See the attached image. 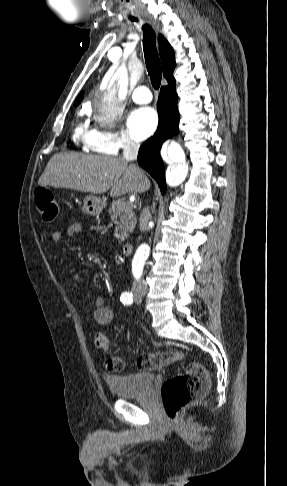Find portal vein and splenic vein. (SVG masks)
<instances>
[{
	"label": "portal vein and splenic vein",
	"mask_w": 287,
	"mask_h": 486,
	"mask_svg": "<svg viewBox=\"0 0 287 486\" xmlns=\"http://www.w3.org/2000/svg\"><path fill=\"white\" fill-rule=\"evenodd\" d=\"M134 199H135L134 197L133 198H130V201H134Z\"/></svg>",
	"instance_id": "18ae733b"
}]
</instances>
